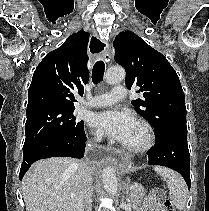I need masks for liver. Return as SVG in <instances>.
I'll return each instance as SVG.
<instances>
[{
  "label": "liver",
  "instance_id": "1",
  "mask_svg": "<svg viewBox=\"0 0 209 211\" xmlns=\"http://www.w3.org/2000/svg\"><path fill=\"white\" fill-rule=\"evenodd\" d=\"M83 164L66 157L34 163L22 180L26 211H84Z\"/></svg>",
  "mask_w": 209,
  "mask_h": 211
}]
</instances>
